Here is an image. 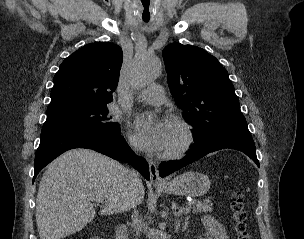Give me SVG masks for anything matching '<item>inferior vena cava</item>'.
I'll return each mask as SVG.
<instances>
[{"label":"inferior vena cava","instance_id":"1","mask_svg":"<svg viewBox=\"0 0 304 239\" xmlns=\"http://www.w3.org/2000/svg\"><path fill=\"white\" fill-rule=\"evenodd\" d=\"M126 182L128 190H134L141 182L138 172L134 169H127ZM128 206L129 209H134V212L131 217V227L134 231H136V234H138V232L141 231L142 228V219L139 217V212L136 210L137 203L135 201H131Z\"/></svg>","mask_w":304,"mask_h":239}]
</instances>
